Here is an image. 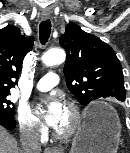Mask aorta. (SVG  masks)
<instances>
[{"mask_svg":"<svg viewBox=\"0 0 130 153\" xmlns=\"http://www.w3.org/2000/svg\"><path fill=\"white\" fill-rule=\"evenodd\" d=\"M65 59L66 54L62 49L49 50L42 57V61L46 66H55L62 64Z\"/></svg>","mask_w":130,"mask_h":153,"instance_id":"1","label":"aorta"}]
</instances>
